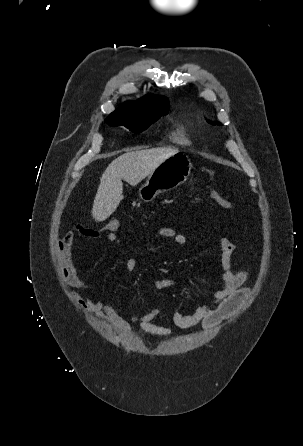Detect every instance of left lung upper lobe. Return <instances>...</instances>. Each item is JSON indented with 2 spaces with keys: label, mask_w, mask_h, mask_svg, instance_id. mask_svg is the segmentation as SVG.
<instances>
[{
  "label": "left lung upper lobe",
  "mask_w": 303,
  "mask_h": 446,
  "mask_svg": "<svg viewBox=\"0 0 303 446\" xmlns=\"http://www.w3.org/2000/svg\"><path fill=\"white\" fill-rule=\"evenodd\" d=\"M211 123V122H210ZM212 124H217V125H221V123L220 122H216V123H212Z\"/></svg>",
  "instance_id": "1"
}]
</instances>
